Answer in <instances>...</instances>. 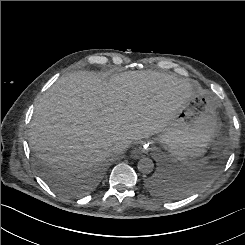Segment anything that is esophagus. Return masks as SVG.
<instances>
[{"mask_svg":"<svg viewBox=\"0 0 245 245\" xmlns=\"http://www.w3.org/2000/svg\"><path fill=\"white\" fill-rule=\"evenodd\" d=\"M150 149L149 143H142L136 150V154L147 153Z\"/></svg>","mask_w":245,"mask_h":245,"instance_id":"obj_1","label":"esophagus"}]
</instances>
